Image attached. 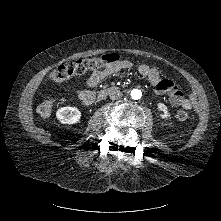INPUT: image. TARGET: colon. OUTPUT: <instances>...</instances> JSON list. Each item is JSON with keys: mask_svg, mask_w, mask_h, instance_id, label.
<instances>
[{"mask_svg": "<svg viewBox=\"0 0 221 221\" xmlns=\"http://www.w3.org/2000/svg\"><path fill=\"white\" fill-rule=\"evenodd\" d=\"M117 54H107L97 59L81 60L73 64H61L54 69L50 77L53 81L60 82L72 76L79 75L85 72L107 68L110 65L118 62ZM56 97H48L43 104L40 105L38 111L42 116H50L55 110ZM176 117L180 121H185L188 118V112L185 109H180L176 113Z\"/></svg>", "mask_w": 221, "mask_h": 221, "instance_id": "obj_1", "label": "colon"}]
</instances>
